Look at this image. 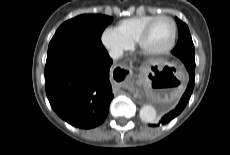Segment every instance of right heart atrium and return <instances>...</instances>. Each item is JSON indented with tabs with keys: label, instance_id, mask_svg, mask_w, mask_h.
<instances>
[{
	"label": "right heart atrium",
	"instance_id": "right-heart-atrium-1",
	"mask_svg": "<svg viewBox=\"0 0 230 155\" xmlns=\"http://www.w3.org/2000/svg\"><path fill=\"white\" fill-rule=\"evenodd\" d=\"M101 43L114 57H121L132 47V44L113 28L104 29L101 34Z\"/></svg>",
	"mask_w": 230,
	"mask_h": 155
}]
</instances>
